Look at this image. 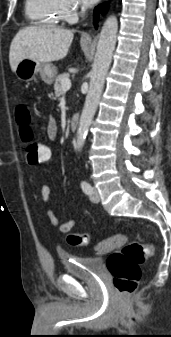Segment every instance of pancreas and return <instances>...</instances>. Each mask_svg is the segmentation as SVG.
<instances>
[{
	"instance_id": "cf45deb5",
	"label": "pancreas",
	"mask_w": 171,
	"mask_h": 337,
	"mask_svg": "<svg viewBox=\"0 0 171 337\" xmlns=\"http://www.w3.org/2000/svg\"><path fill=\"white\" fill-rule=\"evenodd\" d=\"M64 78H69V74L63 73L56 78V81L54 84V90H55L56 97H60L63 94L62 80Z\"/></svg>"
}]
</instances>
